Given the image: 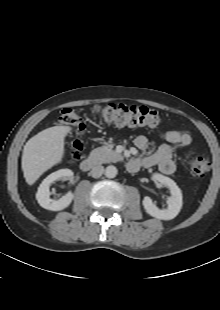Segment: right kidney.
Instances as JSON below:
<instances>
[{"label": "right kidney", "instance_id": "1", "mask_svg": "<svg viewBox=\"0 0 220 310\" xmlns=\"http://www.w3.org/2000/svg\"><path fill=\"white\" fill-rule=\"evenodd\" d=\"M73 172L70 169H60L56 172L48 175L38 187L36 193V199L39 205L47 210L60 211L65 209L72 202L74 195L71 192H68L66 195L62 196L59 200L50 199V185L60 179L66 178L71 179Z\"/></svg>", "mask_w": 220, "mask_h": 310}]
</instances>
